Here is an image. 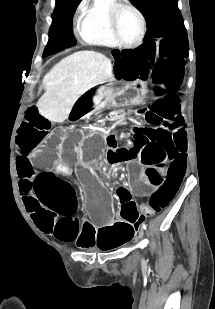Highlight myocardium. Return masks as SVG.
<instances>
[{
  "label": "myocardium",
  "instance_id": "1",
  "mask_svg": "<svg viewBox=\"0 0 215 309\" xmlns=\"http://www.w3.org/2000/svg\"><path fill=\"white\" fill-rule=\"evenodd\" d=\"M121 10H126L131 12L137 22V33L135 38L129 42V43H121V39L119 38V20L117 19V15L116 12L121 11ZM107 14L109 17L112 18L111 21V32L114 33V35L112 34V37L115 38V43L113 44V46L117 47V48H136L137 46H139L144 38V34H145V22L144 19L142 17V14L133 6L130 5H119L116 6L112 9H107ZM118 40V41H117ZM123 41V40H122Z\"/></svg>",
  "mask_w": 215,
  "mask_h": 309
}]
</instances>
